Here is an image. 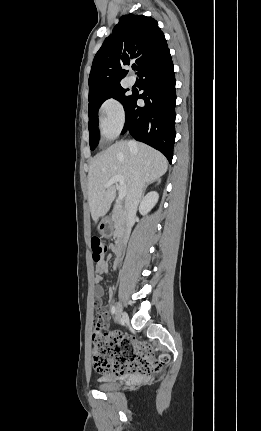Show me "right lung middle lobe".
I'll return each instance as SVG.
<instances>
[{
  "mask_svg": "<svg viewBox=\"0 0 261 431\" xmlns=\"http://www.w3.org/2000/svg\"><path fill=\"white\" fill-rule=\"evenodd\" d=\"M127 89L121 87V85H117L106 89L104 91L98 92L89 96V105H88V113H89V143L90 149L94 150L99 142V130H98V109L101 104L109 99L114 98L122 103L125 107L126 103L130 99L131 96L126 95Z\"/></svg>",
  "mask_w": 261,
  "mask_h": 431,
  "instance_id": "obj_1",
  "label": "right lung middle lobe"
}]
</instances>
